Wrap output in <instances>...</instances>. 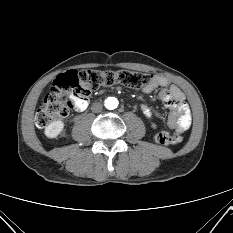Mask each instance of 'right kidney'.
I'll use <instances>...</instances> for the list:
<instances>
[{
	"mask_svg": "<svg viewBox=\"0 0 233 233\" xmlns=\"http://www.w3.org/2000/svg\"><path fill=\"white\" fill-rule=\"evenodd\" d=\"M63 128L64 123L62 121H54L45 128V135L51 139L56 138L63 131Z\"/></svg>",
	"mask_w": 233,
	"mask_h": 233,
	"instance_id": "right-kidney-1",
	"label": "right kidney"
}]
</instances>
